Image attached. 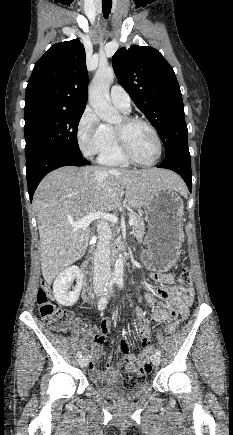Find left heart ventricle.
Listing matches in <instances>:
<instances>
[{
    "label": "left heart ventricle",
    "instance_id": "b2bd125f",
    "mask_svg": "<svg viewBox=\"0 0 233 435\" xmlns=\"http://www.w3.org/2000/svg\"><path fill=\"white\" fill-rule=\"evenodd\" d=\"M123 119L115 126L121 127ZM127 144L137 160L149 163L157 156V146L150 129L142 123H134L125 129Z\"/></svg>",
    "mask_w": 233,
    "mask_h": 435
}]
</instances>
